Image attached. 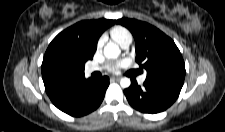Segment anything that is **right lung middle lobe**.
<instances>
[{
  "instance_id": "right-lung-middle-lobe-1",
  "label": "right lung middle lobe",
  "mask_w": 225,
  "mask_h": 132,
  "mask_svg": "<svg viewBox=\"0 0 225 132\" xmlns=\"http://www.w3.org/2000/svg\"><path fill=\"white\" fill-rule=\"evenodd\" d=\"M48 62L54 69L59 71L71 70L78 67L84 68L83 63L64 49H53L48 54Z\"/></svg>"
}]
</instances>
